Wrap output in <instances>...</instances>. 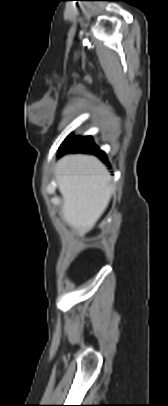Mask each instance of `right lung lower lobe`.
<instances>
[{"mask_svg":"<svg viewBox=\"0 0 168 406\" xmlns=\"http://www.w3.org/2000/svg\"><path fill=\"white\" fill-rule=\"evenodd\" d=\"M63 153H87V154H97L99 157L102 159H106V155L104 152H102L92 141L91 137H88L84 140H81L77 143H74L67 148H65L63 151H61L59 154Z\"/></svg>","mask_w":168,"mask_h":406,"instance_id":"obj_1","label":"right lung lower lobe"}]
</instances>
